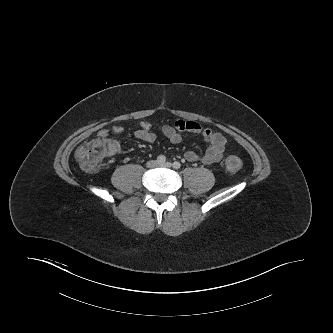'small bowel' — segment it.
Here are the masks:
<instances>
[{
	"instance_id": "small-bowel-1",
	"label": "small bowel",
	"mask_w": 333,
	"mask_h": 333,
	"mask_svg": "<svg viewBox=\"0 0 333 333\" xmlns=\"http://www.w3.org/2000/svg\"><path fill=\"white\" fill-rule=\"evenodd\" d=\"M163 134L170 143L177 144L181 142L184 136L200 135L207 142L208 147L204 154H198L195 151L188 150L184 153V158L188 162H200L206 165L219 162L225 150L226 139L218 132H214L209 128L200 126L194 121L177 120L174 124L152 125L149 122H141L138 129L135 131V137L145 142H154L156 140V132ZM124 133V128L114 126L110 129H101L97 136L107 141L111 148V154L121 152L119 143L110 139L111 134L120 135Z\"/></svg>"
}]
</instances>
